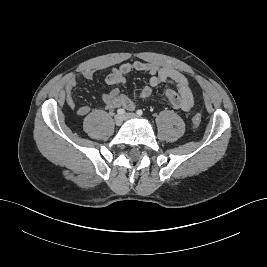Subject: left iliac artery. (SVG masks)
I'll return each instance as SVG.
<instances>
[{
    "mask_svg": "<svg viewBox=\"0 0 267 267\" xmlns=\"http://www.w3.org/2000/svg\"><path fill=\"white\" fill-rule=\"evenodd\" d=\"M136 113H137L138 116H141L143 114V111L139 109V110H137Z\"/></svg>",
    "mask_w": 267,
    "mask_h": 267,
    "instance_id": "44dca946",
    "label": "left iliac artery"
}]
</instances>
